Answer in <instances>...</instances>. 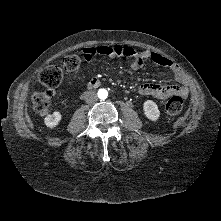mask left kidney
I'll list each match as a JSON object with an SVG mask.
<instances>
[{"instance_id":"1","label":"left kidney","mask_w":221,"mask_h":221,"mask_svg":"<svg viewBox=\"0 0 221 221\" xmlns=\"http://www.w3.org/2000/svg\"><path fill=\"white\" fill-rule=\"evenodd\" d=\"M145 116L151 121H157L160 117V111L157 104L152 100H147L143 104Z\"/></svg>"}]
</instances>
